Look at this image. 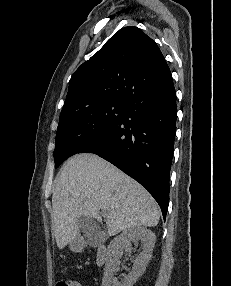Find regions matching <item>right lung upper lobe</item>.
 Listing matches in <instances>:
<instances>
[{
    "mask_svg": "<svg viewBox=\"0 0 231 286\" xmlns=\"http://www.w3.org/2000/svg\"><path fill=\"white\" fill-rule=\"evenodd\" d=\"M170 75L153 39L137 27L122 28L72 75L60 117L101 102H124L133 90Z\"/></svg>",
    "mask_w": 231,
    "mask_h": 286,
    "instance_id": "obj_1",
    "label": "right lung upper lobe"
}]
</instances>
